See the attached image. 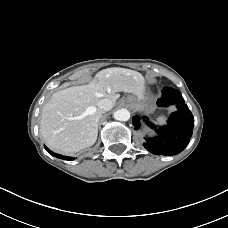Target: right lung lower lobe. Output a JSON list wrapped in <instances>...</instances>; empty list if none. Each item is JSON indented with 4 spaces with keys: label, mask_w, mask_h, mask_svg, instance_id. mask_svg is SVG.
Listing matches in <instances>:
<instances>
[{
    "label": "right lung lower lobe",
    "mask_w": 228,
    "mask_h": 228,
    "mask_svg": "<svg viewBox=\"0 0 228 228\" xmlns=\"http://www.w3.org/2000/svg\"><path fill=\"white\" fill-rule=\"evenodd\" d=\"M45 149H46L51 155H53V156H55V157H57V158L64 159V160H74L73 157L62 156V155L53 153V152L50 151L47 147H45Z\"/></svg>",
    "instance_id": "1"
}]
</instances>
